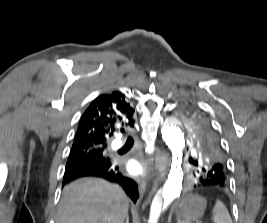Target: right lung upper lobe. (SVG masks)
Returning a JSON list of instances; mask_svg holds the SVG:
<instances>
[{"label":"right lung upper lobe","mask_w":267,"mask_h":223,"mask_svg":"<svg viewBox=\"0 0 267 223\" xmlns=\"http://www.w3.org/2000/svg\"><path fill=\"white\" fill-rule=\"evenodd\" d=\"M134 127V109L125 95L114 91L98 96L82 115L72 149L83 145L107 148L114 132Z\"/></svg>","instance_id":"obj_1"}]
</instances>
